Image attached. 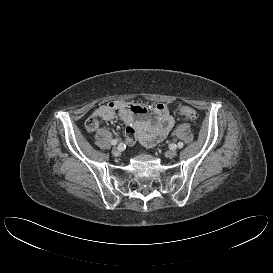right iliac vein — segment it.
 I'll list each match as a JSON object with an SVG mask.
<instances>
[{"label":"right iliac vein","mask_w":273,"mask_h":273,"mask_svg":"<svg viewBox=\"0 0 273 273\" xmlns=\"http://www.w3.org/2000/svg\"><path fill=\"white\" fill-rule=\"evenodd\" d=\"M112 154H113L114 156H119V155L121 154V149H120V147H114V148L112 149Z\"/></svg>","instance_id":"obj_1"}]
</instances>
